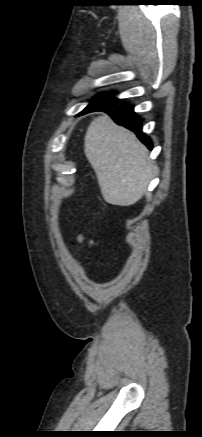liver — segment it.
Returning a JSON list of instances; mask_svg holds the SVG:
<instances>
[{
	"instance_id": "6515ba94",
	"label": "liver",
	"mask_w": 202,
	"mask_h": 437,
	"mask_svg": "<svg viewBox=\"0 0 202 437\" xmlns=\"http://www.w3.org/2000/svg\"><path fill=\"white\" fill-rule=\"evenodd\" d=\"M84 152L107 203L130 206L142 198L154 169L148 149L134 133L103 114L88 126Z\"/></svg>"
}]
</instances>
